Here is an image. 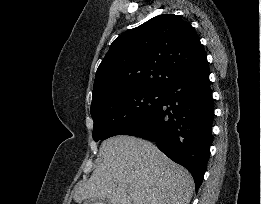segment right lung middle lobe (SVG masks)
<instances>
[{
  "label": "right lung middle lobe",
  "instance_id": "dd1d6c3e",
  "mask_svg": "<svg viewBox=\"0 0 261 204\" xmlns=\"http://www.w3.org/2000/svg\"><path fill=\"white\" fill-rule=\"evenodd\" d=\"M163 91L130 89L113 92L91 106L93 139L97 142L121 134L150 112Z\"/></svg>",
  "mask_w": 261,
  "mask_h": 204
}]
</instances>
